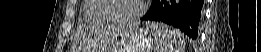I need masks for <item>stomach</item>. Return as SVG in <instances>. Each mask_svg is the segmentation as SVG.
<instances>
[{"mask_svg":"<svg viewBox=\"0 0 261 52\" xmlns=\"http://www.w3.org/2000/svg\"><path fill=\"white\" fill-rule=\"evenodd\" d=\"M120 31L116 39L115 52H150L154 46V40L148 30L114 27Z\"/></svg>","mask_w":261,"mask_h":52,"instance_id":"1","label":"stomach"}]
</instances>
